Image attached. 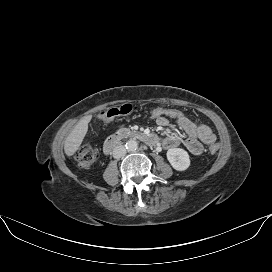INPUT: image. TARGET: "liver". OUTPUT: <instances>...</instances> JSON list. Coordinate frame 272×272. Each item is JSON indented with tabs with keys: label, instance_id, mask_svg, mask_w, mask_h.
Listing matches in <instances>:
<instances>
[{
	"label": "liver",
	"instance_id": "6515ba94",
	"mask_svg": "<svg viewBox=\"0 0 272 272\" xmlns=\"http://www.w3.org/2000/svg\"><path fill=\"white\" fill-rule=\"evenodd\" d=\"M91 116L83 117L69 133L64 143V151L67 156H72L80 147L87 131Z\"/></svg>",
	"mask_w": 272,
	"mask_h": 272
}]
</instances>
